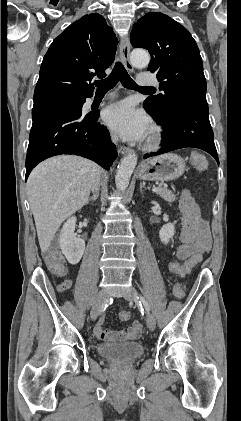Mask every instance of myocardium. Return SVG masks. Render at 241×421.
Instances as JSON below:
<instances>
[{
    "mask_svg": "<svg viewBox=\"0 0 241 421\" xmlns=\"http://www.w3.org/2000/svg\"><path fill=\"white\" fill-rule=\"evenodd\" d=\"M162 139V130L159 126L154 125L151 127L148 138L144 144V148L152 150L158 147Z\"/></svg>",
    "mask_w": 241,
    "mask_h": 421,
    "instance_id": "obj_1",
    "label": "myocardium"
}]
</instances>
